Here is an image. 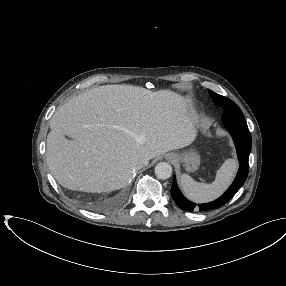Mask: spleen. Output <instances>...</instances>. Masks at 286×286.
Wrapping results in <instances>:
<instances>
[{
    "mask_svg": "<svg viewBox=\"0 0 286 286\" xmlns=\"http://www.w3.org/2000/svg\"><path fill=\"white\" fill-rule=\"evenodd\" d=\"M237 171V162L234 159H227L219 168L215 180L210 183L196 182L189 175H181V187L190 200L197 203L210 202L220 195L231 184Z\"/></svg>",
    "mask_w": 286,
    "mask_h": 286,
    "instance_id": "1",
    "label": "spleen"
}]
</instances>
